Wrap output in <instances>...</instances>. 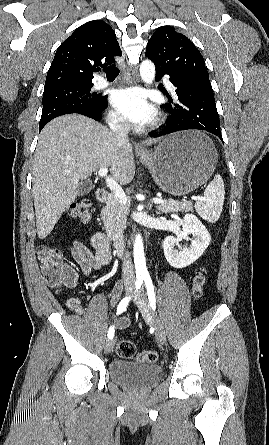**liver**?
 I'll use <instances>...</instances> for the list:
<instances>
[{
	"mask_svg": "<svg viewBox=\"0 0 269 445\" xmlns=\"http://www.w3.org/2000/svg\"><path fill=\"white\" fill-rule=\"evenodd\" d=\"M156 140L148 142L151 144ZM110 167L120 184L135 174L133 146L91 118L70 114L48 123L35 151L33 198L37 234L46 238L79 194V181Z\"/></svg>",
	"mask_w": 269,
	"mask_h": 445,
	"instance_id": "liver-1",
	"label": "liver"
}]
</instances>
